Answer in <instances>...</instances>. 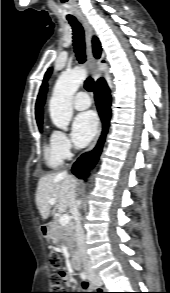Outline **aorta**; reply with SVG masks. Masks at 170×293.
<instances>
[{
    "instance_id": "762f6f07",
    "label": "aorta",
    "mask_w": 170,
    "mask_h": 293,
    "mask_svg": "<svg viewBox=\"0 0 170 293\" xmlns=\"http://www.w3.org/2000/svg\"><path fill=\"white\" fill-rule=\"evenodd\" d=\"M86 76L85 69L76 68L64 72L57 80L49 103L50 117L57 128L68 130L73 115L72 99Z\"/></svg>"
}]
</instances>
